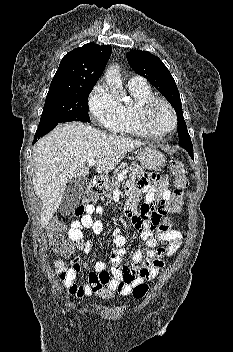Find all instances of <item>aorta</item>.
<instances>
[{
	"instance_id": "aorta-1",
	"label": "aorta",
	"mask_w": 233,
	"mask_h": 352,
	"mask_svg": "<svg viewBox=\"0 0 233 352\" xmlns=\"http://www.w3.org/2000/svg\"><path fill=\"white\" fill-rule=\"evenodd\" d=\"M105 80L110 88L111 93L116 99L120 101H127L129 99L123 87L118 66L111 65L106 69Z\"/></svg>"
}]
</instances>
